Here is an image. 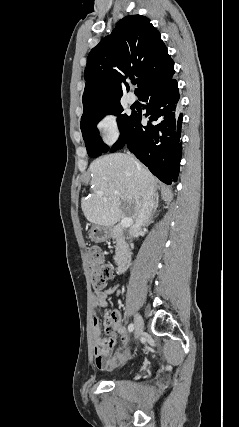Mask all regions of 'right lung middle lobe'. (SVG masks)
<instances>
[{"label":"right lung middle lobe","mask_w":239,"mask_h":427,"mask_svg":"<svg viewBox=\"0 0 239 427\" xmlns=\"http://www.w3.org/2000/svg\"><path fill=\"white\" fill-rule=\"evenodd\" d=\"M108 114L118 116V126L121 130L120 138L112 147L111 152L116 151L118 147H122L124 145L127 128L132 118V114L130 116L123 114V107L120 102L98 106L89 111L86 115L82 116L80 124L87 153L92 158L98 157L102 152H107L109 149L99 137L98 129L96 128L97 123Z\"/></svg>","instance_id":"right-lung-middle-lobe-1"}]
</instances>
